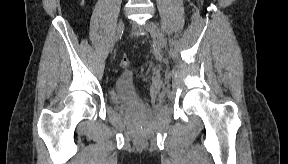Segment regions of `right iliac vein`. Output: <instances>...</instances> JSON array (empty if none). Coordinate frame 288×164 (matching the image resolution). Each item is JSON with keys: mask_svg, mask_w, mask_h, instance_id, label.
<instances>
[{"mask_svg": "<svg viewBox=\"0 0 288 164\" xmlns=\"http://www.w3.org/2000/svg\"><path fill=\"white\" fill-rule=\"evenodd\" d=\"M124 24L122 21H119L116 26L114 27V30L112 32V37H111V43H110V50L113 49L115 43L119 40L121 37V34L123 32Z\"/></svg>", "mask_w": 288, "mask_h": 164, "instance_id": "1", "label": "right iliac vein"}]
</instances>
